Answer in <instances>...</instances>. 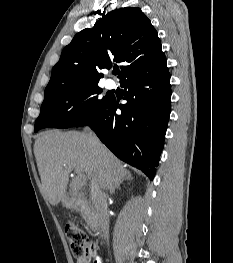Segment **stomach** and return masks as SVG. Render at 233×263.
<instances>
[{"mask_svg":"<svg viewBox=\"0 0 233 263\" xmlns=\"http://www.w3.org/2000/svg\"><path fill=\"white\" fill-rule=\"evenodd\" d=\"M62 203H63L64 205H68V204H69V202H68L67 199H62Z\"/></svg>","mask_w":233,"mask_h":263,"instance_id":"stomach-1","label":"stomach"}]
</instances>
